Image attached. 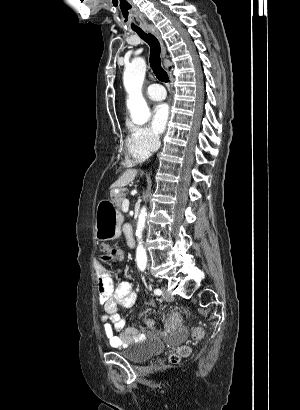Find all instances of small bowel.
Here are the masks:
<instances>
[{"label": "small bowel", "instance_id": "1", "mask_svg": "<svg viewBox=\"0 0 300 410\" xmlns=\"http://www.w3.org/2000/svg\"><path fill=\"white\" fill-rule=\"evenodd\" d=\"M99 302L104 306L105 315L101 322L103 332L110 346L119 348L142 339L137 327L127 326L126 319L119 308L130 309L135 301V292L129 281L117 285L113 276L101 264L95 266ZM170 328L176 329L170 325Z\"/></svg>", "mask_w": 300, "mask_h": 410}]
</instances>
